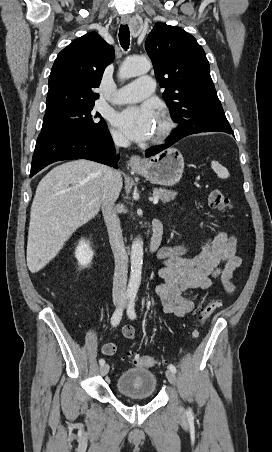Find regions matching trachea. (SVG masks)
Segmentation results:
<instances>
[{
	"label": "trachea",
	"mask_w": 272,
	"mask_h": 452,
	"mask_svg": "<svg viewBox=\"0 0 272 452\" xmlns=\"http://www.w3.org/2000/svg\"><path fill=\"white\" fill-rule=\"evenodd\" d=\"M119 41L123 49L127 50L130 42V31L128 25H121L119 29Z\"/></svg>",
	"instance_id": "obj_1"
}]
</instances>
